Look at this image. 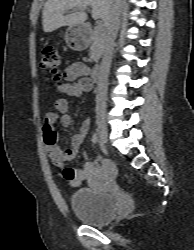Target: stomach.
I'll return each mask as SVG.
<instances>
[{
	"label": "stomach",
	"instance_id": "1",
	"mask_svg": "<svg viewBox=\"0 0 194 250\" xmlns=\"http://www.w3.org/2000/svg\"><path fill=\"white\" fill-rule=\"evenodd\" d=\"M63 39L73 45L74 50H83L87 47V38L83 25H75L69 27L63 34Z\"/></svg>",
	"mask_w": 194,
	"mask_h": 250
}]
</instances>
